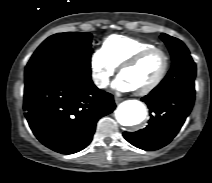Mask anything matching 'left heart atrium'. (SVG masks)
Instances as JSON below:
<instances>
[{
  "label": "left heart atrium",
  "instance_id": "left-heart-atrium-1",
  "mask_svg": "<svg viewBox=\"0 0 212 183\" xmlns=\"http://www.w3.org/2000/svg\"><path fill=\"white\" fill-rule=\"evenodd\" d=\"M114 87L122 92L133 90L127 81L120 75L114 82Z\"/></svg>",
  "mask_w": 212,
  "mask_h": 183
}]
</instances>
